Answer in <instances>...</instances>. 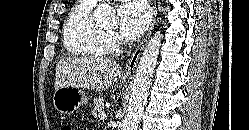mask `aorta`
<instances>
[{
  "label": "aorta",
  "instance_id": "obj_1",
  "mask_svg": "<svg viewBox=\"0 0 249 130\" xmlns=\"http://www.w3.org/2000/svg\"><path fill=\"white\" fill-rule=\"evenodd\" d=\"M95 17L98 20L110 22L116 19V12L112 6L102 4L96 9ZM161 39L162 34L160 31H157L143 51L136 69L132 93L127 107V114L122 122V130L138 129L159 55Z\"/></svg>",
  "mask_w": 249,
  "mask_h": 130
}]
</instances>
